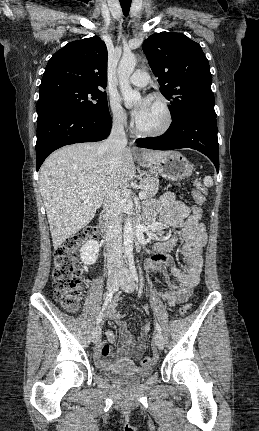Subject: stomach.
Segmentation results:
<instances>
[{
    "mask_svg": "<svg viewBox=\"0 0 259 431\" xmlns=\"http://www.w3.org/2000/svg\"><path fill=\"white\" fill-rule=\"evenodd\" d=\"M143 166H147L143 164ZM150 171L162 176L167 180L177 181L189 177L193 166L181 153L177 151L168 152L159 162L149 166Z\"/></svg>",
    "mask_w": 259,
    "mask_h": 431,
    "instance_id": "0dacf381",
    "label": "stomach"
}]
</instances>
